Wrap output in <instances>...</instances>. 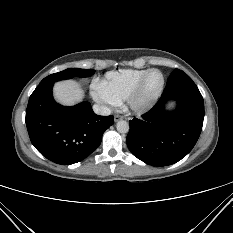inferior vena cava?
Returning <instances> with one entry per match:
<instances>
[{
	"label": "inferior vena cava",
	"mask_w": 233,
	"mask_h": 233,
	"mask_svg": "<svg viewBox=\"0 0 233 233\" xmlns=\"http://www.w3.org/2000/svg\"><path fill=\"white\" fill-rule=\"evenodd\" d=\"M93 111L97 115H102V116H108L111 114V110L108 107L98 104L93 105Z\"/></svg>",
	"instance_id": "602c4592"
}]
</instances>
